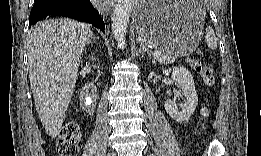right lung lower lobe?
Returning <instances> with one entry per match:
<instances>
[{"label": "right lung lower lobe", "instance_id": "1", "mask_svg": "<svg viewBox=\"0 0 261 156\" xmlns=\"http://www.w3.org/2000/svg\"><path fill=\"white\" fill-rule=\"evenodd\" d=\"M52 16H64L88 22L104 32V21L90 0H35L29 25Z\"/></svg>", "mask_w": 261, "mask_h": 156}]
</instances>
